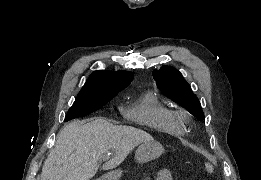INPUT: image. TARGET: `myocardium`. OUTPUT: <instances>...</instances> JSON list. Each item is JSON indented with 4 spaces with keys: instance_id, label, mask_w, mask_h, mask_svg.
I'll return each instance as SVG.
<instances>
[{
    "instance_id": "f54148a6",
    "label": "myocardium",
    "mask_w": 261,
    "mask_h": 180,
    "mask_svg": "<svg viewBox=\"0 0 261 180\" xmlns=\"http://www.w3.org/2000/svg\"><path fill=\"white\" fill-rule=\"evenodd\" d=\"M171 115L173 118L181 120V119H185V114L182 111L179 110H172Z\"/></svg>"
}]
</instances>
